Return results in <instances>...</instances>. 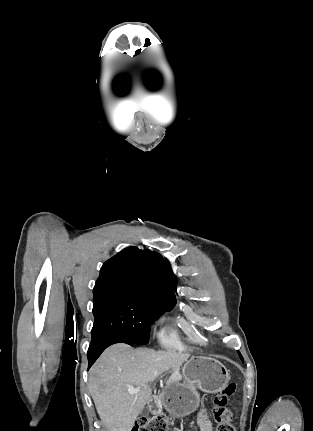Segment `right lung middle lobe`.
<instances>
[{"label": "right lung middle lobe", "mask_w": 313, "mask_h": 431, "mask_svg": "<svg viewBox=\"0 0 313 431\" xmlns=\"http://www.w3.org/2000/svg\"><path fill=\"white\" fill-rule=\"evenodd\" d=\"M173 306H160L149 300L118 292L94 296L92 341L104 336H115L134 344H147L150 325L154 319Z\"/></svg>", "instance_id": "1"}]
</instances>
